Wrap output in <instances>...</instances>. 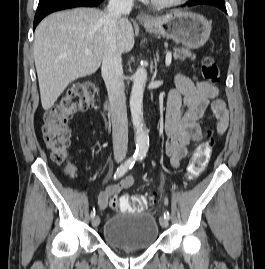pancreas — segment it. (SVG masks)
Masks as SVG:
<instances>
[{"label":"pancreas","instance_id":"pancreas-1","mask_svg":"<svg viewBox=\"0 0 265 269\" xmlns=\"http://www.w3.org/2000/svg\"><path fill=\"white\" fill-rule=\"evenodd\" d=\"M173 56L175 59L183 61L186 57L194 60L196 56L192 54L188 49H174Z\"/></svg>","mask_w":265,"mask_h":269}]
</instances>
